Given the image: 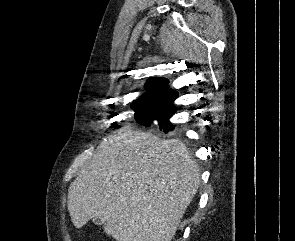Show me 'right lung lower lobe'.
<instances>
[{"label": "right lung lower lobe", "mask_w": 295, "mask_h": 241, "mask_svg": "<svg viewBox=\"0 0 295 241\" xmlns=\"http://www.w3.org/2000/svg\"><path fill=\"white\" fill-rule=\"evenodd\" d=\"M171 117V116H170ZM169 117V118H170ZM169 118L159 121L160 130H163L164 133H169L174 130V126L171 124V122L168 120Z\"/></svg>", "instance_id": "obj_1"}]
</instances>
